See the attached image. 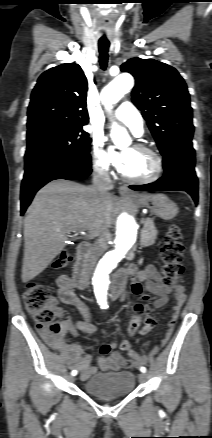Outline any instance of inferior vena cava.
<instances>
[{"instance_id":"obj_1","label":"inferior vena cava","mask_w":212,"mask_h":438,"mask_svg":"<svg viewBox=\"0 0 212 438\" xmlns=\"http://www.w3.org/2000/svg\"><path fill=\"white\" fill-rule=\"evenodd\" d=\"M112 188L113 185L108 171L102 167L95 166L93 172V187H92L95 195L98 198L106 197L110 194L109 191ZM103 235L104 234L97 235L98 240L94 244V248L91 252L89 259L90 269H92L95 266L98 258L101 256L103 252V244H104Z\"/></svg>"}]
</instances>
